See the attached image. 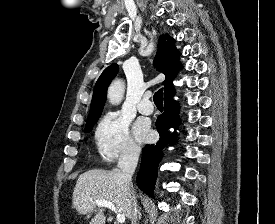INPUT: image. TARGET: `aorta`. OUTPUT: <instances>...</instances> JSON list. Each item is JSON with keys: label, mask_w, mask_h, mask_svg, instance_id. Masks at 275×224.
Segmentation results:
<instances>
[{"label": "aorta", "mask_w": 275, "mask_h": 224, "mask_svg": "<svg viewBox=\"0 0 275 224\" xmlns=\"http://www.w3.org/2000/svg\"><path fill=\"white\" fill-rule=\"evenodd\" d=\"M124 94V83L121 80L114 81L108 89V99L113 105L119 104Z\"/></svg>", "instance_id": "1"}]
</instances>
